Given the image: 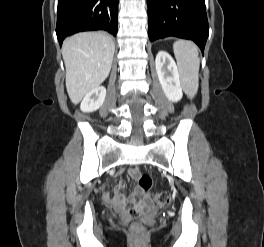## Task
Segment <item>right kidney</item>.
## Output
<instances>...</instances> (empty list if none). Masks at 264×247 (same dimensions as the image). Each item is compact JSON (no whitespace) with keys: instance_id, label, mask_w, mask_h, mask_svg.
<instances>
[{"instance_id":"obj_1","label":"right kidney","mask_w":264,"mask_h":247,"mask_svg":"<svg viewBox=\"0 0 264 247\" xmlns=\"http://www.w3.org/2000/svg\"><path fill=\"white\" fill-rule=\"evenodd\" d=\"M106 97V88L103 86L96 87L83 98L80 109L83 112H94L104 103Z\"/></svg>"}]
</instances>
